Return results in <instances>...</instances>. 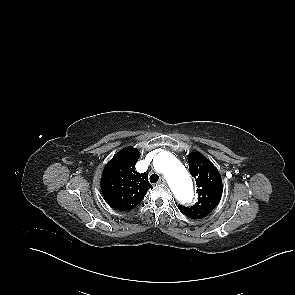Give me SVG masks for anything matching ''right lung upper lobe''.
Listing matches in <instances>:
<instances>
[{"mask_svg": "<svg viewBox=\"0 0 295 295\" xmlns=\"http://www.w3.org/2000/svg\"><path fill=\"white\" fill-rule=\"evenodd\" d=\"M139 159L136 148H125L105 166L101 178V190L106 202L121 211L137 206L152 188L147 173L135 171Z\"/></svg>", "mask_w": 295, "mask_h": 295, "instance_id": "1", "label": "right lung upper lobe"}]
</instances>
